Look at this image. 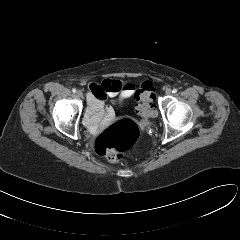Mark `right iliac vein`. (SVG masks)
<instances>
[{
	"label": "right iliac vein",
	"mask_w": 240,
	"mask_h": 240,
	"mask_svg": "<svg viewBox=\"0 0 240 240\" xmlns=\"http://www.w3.org/2000/svg\"><path fill=\"white\" fill-rule=\"evenodd\" d=\"M77 97L82 98L83 97V92L81 90H78L76 92Z\"/></svg>",
	"instance_id": "1"
}]
</instances>
